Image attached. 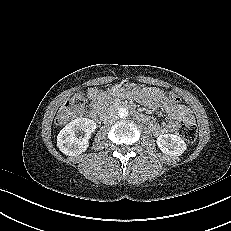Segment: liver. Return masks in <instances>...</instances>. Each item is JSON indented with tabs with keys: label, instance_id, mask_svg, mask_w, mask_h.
Here are the masks:
<instances>
[{
	"label": "liver",
	"instance_id": "obj_1",
	"mask_svg": "<svg viewBox=\"0 0 231 231\" xmlns=\"http://www.w3.org/2000/svg\"><path fill=\"white\" fill-rule=\"evenodd\" d=\"M64 108V106H61V108L60 109H63Z\"/></svg>",
	"mask_w": 231,
	"mask_h": 231
}]
</instances>
